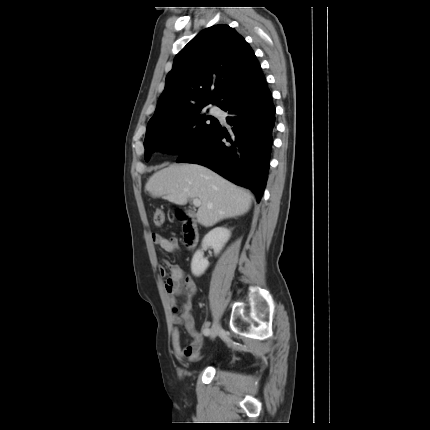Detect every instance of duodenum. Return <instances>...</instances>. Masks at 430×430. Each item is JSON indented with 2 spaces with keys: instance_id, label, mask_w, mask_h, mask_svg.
<instances>
[{
  "instance_id": "1",
  "label": "duodenum",
  "mask_w": 430,
  "mask_h": 430,
  "mask_svg": "<svg viewBox=\"0 0 430 430\" xmlns=\"http://www.w3.org/2000/svg\"><path fill=\"white\" fill-rule=\"evenodd\" d=\"M177 217L182 222V233L185 245L194 248L199 240L198 228L195 220L182 211H177Z\"/></svg>"
}]
</instances>
